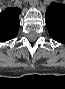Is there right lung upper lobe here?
Instances as JSON below:
<instances>
[{"label": "right lung upper lobe", "instance_id": "1", "mask_svg": "<svg viewBox=\"0 0 65 89\" xmlns=\"http://www.w3.org/2000/svg\"><path fill=\"white\" fill-rule=\"evenodd\" d=\"M21 11L18 8H8L0 13V42H6L18 34Z\"/></svg>", "mask_w": 65, "mask_h": 89}]
</instances>
